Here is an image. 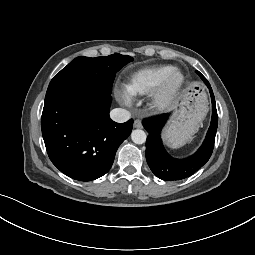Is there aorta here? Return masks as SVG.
<instances>
[{
  "instance_id": "1",
  "label": "aorta",
  "mask_w": 255,
  "mask_h": 255,
  "mask_svg": "<svg viewBox=\"0 0 255 255\" xmlns=\"http://www.w3.org/2000/svg\"><path fill=\"white\" fill-rule=\"evenodd\" d=\"M131 139L135 144H143L146 142V133L141 129L133 130Z\"/></svg>"
}]
</instances>
